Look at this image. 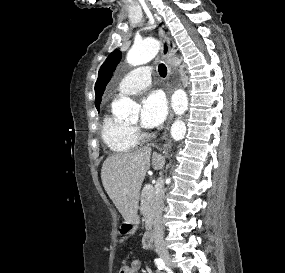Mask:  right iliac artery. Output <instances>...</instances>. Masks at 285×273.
I'll return each instance as SVG.
<instances>
[{
  "mask_svg": "<svg viewBox=\"0 0 285 273\" xmlns=\"http://www.w3.org/2000/svg\"><path fill=\"white\" fill-rule=\"evenodd\" d=\"M154 262H155V265L158 267L159 270H162V269L165 268V263H164V261L162 259L156 258L154 260Z\"/></svg>",
  "mask_w": 285,
  "mask_h": 273,
  "instance_id": "right-iliac-artery-1",
  "label": "right iliac artery"
}]
</instances>
